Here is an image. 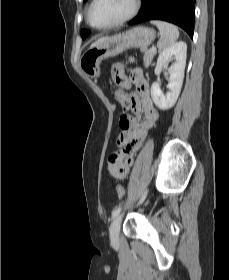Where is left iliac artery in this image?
Segmentation results:
<instances>
[{"label":"left iliac artery","instance_id":"obj_1","mask_svg":"<svg viewBox=\"0 0 229 280\" xmlns=\"http://www.w3.org/2000/svg\"><path fill=\"white\" fill-rule=\"evenodd\" d=\"M121 209H122V207L119 206V207H117V208H115L113 210V212H112V219H114L120 213Z\"/></svg>","mask_w":229,"mask_h":280}]
</instances>
